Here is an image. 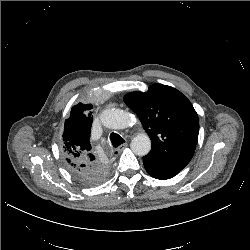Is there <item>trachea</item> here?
I'll return each instance as SVG.
<instances>
[{"label":"trachea","mask_w":250,"mask_h":250,"mask_svg":"<svg viewBox=\"0 0 250 250\" xmlns=\"http://www.w3.org/2000/svg\"><path fill=\"white\" fill-rule=\"evenodd\" d=\"M110 140L113 147H118L125 142V140L117 133L110 134Z\"/></svg>","instance_id":"1"}]
</instances>
